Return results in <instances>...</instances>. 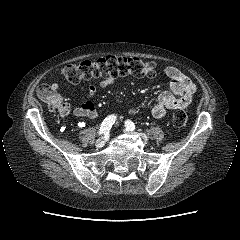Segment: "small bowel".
I'll return each instance as SVG.
<instances>
[{"mask_svg":"<svg viewBox=\"0 0 240 240\" xmlns=\"http://www.w3.org/2000/svg\"><path fill=\"white\" fill-rule=\"evenodd\" d=\"M163 75L170 80V89L163 91L159 95L157 102L153 105L151 113L155 118H163L167 114L168 110H178L188 107L196 93V86L192 80L176 67H167L163 71ZM114 83L115 78H104L99 82V87L105 89L112 86ZM52 87L57 90L59 85L54 83L52 84ZM96 92V85L89 83L87 85L86 99L75 107H72L67 102H62L60 108L58 109L59 114L62 117L73 113L79 118H97L98 112L93 102ZM136 112V109L131 110V113L133 114Z\"/></svg>","mask_w":240,"mask_h":240,"instance_id":"small-bowel-1","label":"small bowel"}]
</instances>
